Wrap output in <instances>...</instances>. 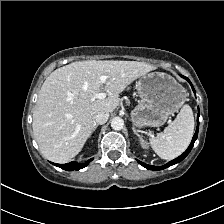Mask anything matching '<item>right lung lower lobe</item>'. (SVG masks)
I'll return each mask as SVG.
<instances>
[{
	"label": "right lung lower lobe",
	"mask_w": 224,
	"mask_h": 224,
	"mask_svg": "<svg viewBox=\"0 0 224 224\" xmlns=\"http://www.w3.org/2000/svg\"><path fill=\"white\" fill-rule=\"evenodd\" d=\"M90 161H92V159L88 160V162L84 164H79L77 162H70L67 164H54V165L67 171H73V170H79L86 167Z\"/></svg>",
	"instance_id": "right-lung-lower-lobe-1"
}]
</instances>
